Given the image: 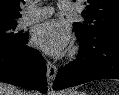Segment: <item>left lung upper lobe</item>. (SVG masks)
I'll return each instance as SVG.
<instances>
[{
	"instance_id": "obj_1",
	"label": "left lung upper lobe",
	"mask_w": 119,
	"mask_h": 95,
	"mask_svg": "<svg viewBox=\"0 0 119 95\" xmlns=\"http://www.w3.org/2000/svg\"><path fill=\"white\" fill-rule=\"evenodd\" d=\"M85 4L81 13L85 21L73 24L79 41L119 37V0H85Z\"/></svg>"
}]
</instances>
